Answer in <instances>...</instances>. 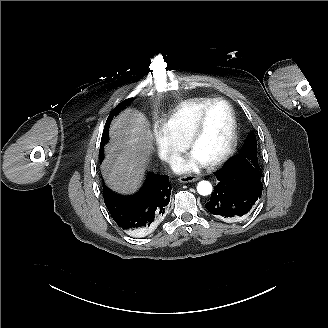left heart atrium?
Instances as JSON below:
<instances>
[{"label": "left heart atrium", "instance_id": "left-heart-atrium-1", "mask_svg": "<svg viewBox=\"0 0 328 328\" xmlns=\"http://www.w3.org/2000/svg\"><path fill=\"white\" fill-rule=\"evenodd\" d=\"M208 164V161L198 152L191 150L173 164L177 173L197 172Z\"/></svg>", "mask_w": 328, "mask_h": 328}]
</instances>
